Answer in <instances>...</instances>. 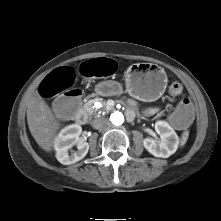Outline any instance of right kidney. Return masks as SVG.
<instances>
[{"label": "right kidney", "instance_id": "right-kidney-1", "mask_svg": "<svg viewBox=\"0 0 221 221\" xmlns=\"http://www.w3.org/2000/svg\"><path fill=\"white\" fill-rule=\"evenodd\" d=\"M81 132L82 128L78 124L66 126L59 132L54 142V148L56 150V158L61 164H74L83 159L88 153L89 144L79 138ZM73 145H76L78 150L69 154L68 151Z\"/></svg>", "mask_w": 221, "mask_h": 221}]
</instances>
